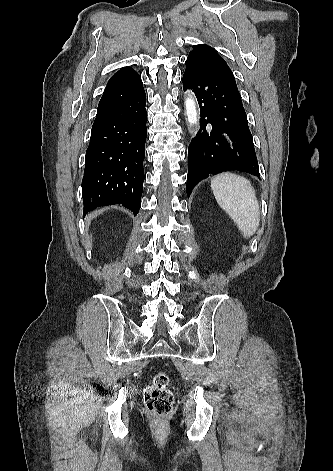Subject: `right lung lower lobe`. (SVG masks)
<instances>
[{"mask_svg": "<svg viewBox=\"0 0 333 471\" xmlns=\"http://www.w3.org/2000/svg\"><path fill=\"white\" fill-rule=\"evenodd\" d=\"M146 94L135 72L125 83L110 85L98 104L86 151L82 181L84 215L122 204L139 212L144 182Z\"/></svg>", "mask_w": 333, "mask_h": 471, "instance_id": "right-lung-lower-lobe-1", "label": "right lung lower lobe"}]
</instances>
